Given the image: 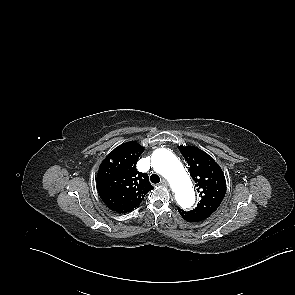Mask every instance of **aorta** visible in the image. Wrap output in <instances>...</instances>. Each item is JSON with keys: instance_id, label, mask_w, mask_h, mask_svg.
<instances>
[{"instance_id": "aorta-1", "label": "aorta", "mask_w": 295, "mask_h": 295, "mask_svg": "<svg viewBox=\"0 0 295 295\" xmlns=\"http://www.w3.org/2000/svg\"><path fill=\"white\" fill-rule=\"evenodd\" d=\"M152 165L170 183L178 205L183 209L191 208L195 203L193 184L178 158L168 149L160 148L152 154Z\"/></svg>"}]
</instances>
